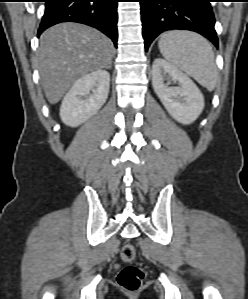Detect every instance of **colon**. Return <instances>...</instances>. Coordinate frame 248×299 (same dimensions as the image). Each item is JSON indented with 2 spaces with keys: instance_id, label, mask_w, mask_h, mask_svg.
Wrapping results in <instances>:
<instances>
[{
  "instance_id": "5ec220e1",
  "label": "colon",
  "mask_w": 248,
  "mask_h": 299,
  "mask_svg": "<svg viewBox=\"0 0 248 299\" xmlns=\"http://www.w3.org/2000/svg\"><path fill=\"white\" fill-rule=\"evenodd\" d=\"M121 258L127 266L119 272L117 283L127 292H136L142 286L145 273L141 267L132 264L136 258V249L133 244L127 243L122 247Z\"/></svg>"
}]
</instances>
